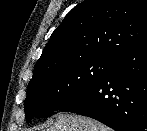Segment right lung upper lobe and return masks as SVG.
Returning a JSON list of instances; mask_svg holds the SVG:
<instances>
[{
	"instance_id": "cb5924a9",
	"label": "right lung upper lobe",
	"mask_w": 147,
	"mask_h": 131,
	"mask_svg": "<svg viewBox=\"0 0 147 131\" xmlns=\"http://www.w3.org/2000/svg\"><path fill=\"white\" fill-rule=\"evenodd\" d=\"M147 41V0H85L57 27L33 76L69 62L116 60Z\"/></svg>"
}]
</instances>
